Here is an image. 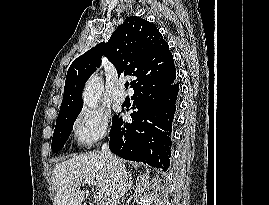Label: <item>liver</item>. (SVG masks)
Returning <instances> with one entry per match:
<instances>
[{
  "mask_svg": "<svg viewBox=\"0 0 269 205\" xmlns=\"http://www.w3.org/2000/svg\"><path fill=\"white\" fill-rule=\"evenodd\" d=\"M85 179H96V189L103 193V198L106 199L112 181V171L102 152L90 151L79 154L54 166L52 171V186L56 193L54 205H81L89 193L88 190L80 189Z\"/></svg>",
  "mask_w": 269,
  "mask_h": 205,
  "instance_id": "1",
  "label": "liver"
}]
</instances>
